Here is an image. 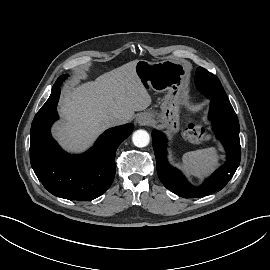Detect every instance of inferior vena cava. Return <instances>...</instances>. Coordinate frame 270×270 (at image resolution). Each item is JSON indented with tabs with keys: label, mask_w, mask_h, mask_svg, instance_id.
Here are the masks:
<instances>
[{
	"label": "inferior vena cava",
	"mask_w": 270,
	"mask_h": 270,
	"mask_svg": "<svg viewBox=\"0 0 270 270\" xmlns=\"http://www.w3.org/2000/svg\"><path fill=\"white\" fill-rule=\"evenodd\" d=\"M126 123V119L122 117L121 115H115L110 117L109 124L111 126H117Z\"/></svg>",
	"instance_id": "602c4592"
}]
</instances>
